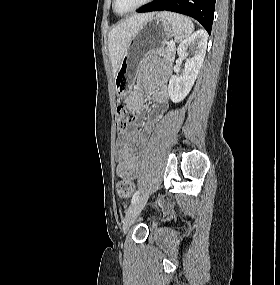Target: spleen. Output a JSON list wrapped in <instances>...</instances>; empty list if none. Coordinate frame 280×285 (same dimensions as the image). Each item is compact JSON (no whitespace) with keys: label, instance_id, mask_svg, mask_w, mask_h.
<instances>
[{"label":"spleen","instance_id":"1","mask_svg":"<svg viewBox=\"0 0 280 285\" xmlns=\"http://www.w3.org/2000/svg\"><path fill=\"white\" fill-rule=\"evenodd\" d=\"M158 15L166 19L172 25L175 40L178 42L187 38L194 30V24L188 17L166 11Z\"/></svg>","mask_w":280,"mask_h":285}]
</instances>
